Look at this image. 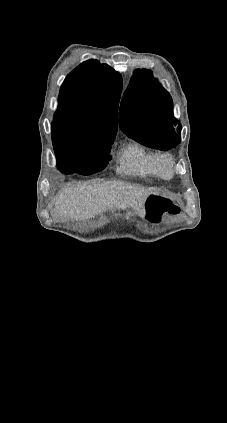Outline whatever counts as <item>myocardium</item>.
I'll use <instances>...</instances> for the list:
<instances>
[{
    "mask_svg": "<svg viewBox=\"0 0 227 423\" xmlns=\"http://www.w3.org/2000/svg\"><path fill=\"white\" fill-rule=\"evenodd\" d=\"M156 165L164 177H171L174 173L175 160L168 152H160L157 154Z\"/></svg>",
    "mask_w": 227,
    "mask_h": 423,
    "instance_id": "obj_1",
    "label": "myocardium"
}]
</instances>
